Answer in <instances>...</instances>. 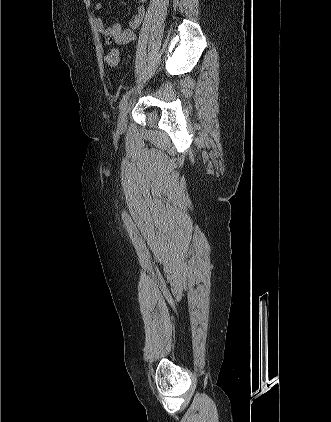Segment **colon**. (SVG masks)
<instances>
[{
	"label": "colon",
	"instance_id": "5ec220e1",
	"mask_svg": "<svg viewBox=\"0 0 331 422\" xmlns=\"http://www.w3.org/2000/svg\"><path fill=\"white\" fill-rule=\"evenodd\" d=\"M106 61L111 69H117L119 65V53L116 49H111L106 56Z\"/></svg>",
	"mask_w": 331,
	"mask_h": 422
}]
</instances>
